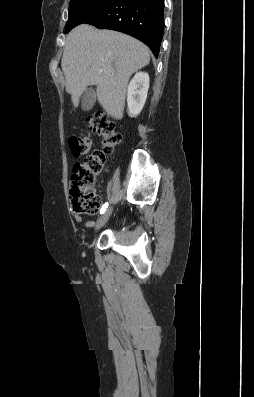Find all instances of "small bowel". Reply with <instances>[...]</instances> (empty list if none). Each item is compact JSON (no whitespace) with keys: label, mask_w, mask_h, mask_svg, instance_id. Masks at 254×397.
<instances>
[{"label":"small bowel","mask_w":254,"mask_h":397,"mask_svg":"<svg viewBox=\"0 0 254 397\" xmlns=\"http://www.w3.org/2000/svg\"><path fill=\"white\" fill-rule=\"evenodd\" d=\"M75 220L78 221V222H80V221H82V218H81V216H79V215H75ZM84 224H85V226H87V227H92V226L94 225V222H92V221H86Z\"/></svg>","instance_id":"c3829d8e"}]
</instances>
